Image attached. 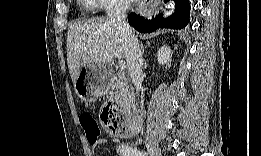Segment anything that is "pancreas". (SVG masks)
<instances>
[{
  "label": "pancreas",
  "instance_id": "pancreas-1",
  "mask_svg": "<svg viewBox=\"0 0 261 156\" xmlns=\"http://www.w3.org/2000/svg\"><path fill=\"white\" fill-rule=\"evenodd\" d=\"M110 82L111 87L115 89L116 100L126 106L131 105L133 97L125 73L113 74Z\"/></svg>",
  "mask_w": 261,
  "mask_h": 156
}]
</instances>
